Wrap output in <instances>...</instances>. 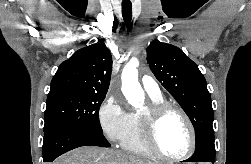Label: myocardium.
Returning a JSON list of instances; mask_svg holds the SVG:
<instances>
[{"label":"myocardium","mask_w":251,"mask_h":164,"mask_svg":"<svg viewBox=\"0 0 251 164\" xmlns=\"http://www.w3.org/2000/svg\"><path fill=\"white\" fill-rule=\"evenodd\" d=\"M171 111L178 113L184 119L190 133V147L184 155L179 157H172L165 154L160 148L157 139L160 122L164 116ZM140 119L145 144L156 157L166 161L179 162L188 159L195 152L197 145L195 127L188 114L181 107L167 102L153 103L142 115H140Z\"/></svg>","instance_id":"myocardium-1"}]
</instances>
